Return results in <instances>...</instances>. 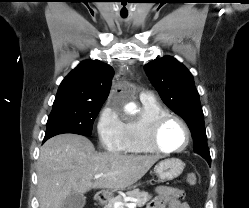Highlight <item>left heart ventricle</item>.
<instances>
[{
    "mask_svg": "<svg viewBox=\"0 0 249 208\" xmlns=\"http://www.w3.org/2000/svg\"><path fill=\"white\" fill-rule=\"evenodd\" d=\"M186 133L180 123L171 120L165 124L159 135V143L165 149H176L183 146Z\"/></svg>",
    "mask_w": 249,
    "mask_h": 208,
    "instance_id": "left-heart-ventricle-1",
    "label": "left heart ventricle"
}]
</instances>
